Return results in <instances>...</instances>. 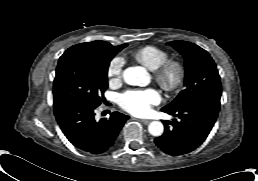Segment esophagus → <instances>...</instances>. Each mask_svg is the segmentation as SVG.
Listing matches in <instances>:
<instances>
[{
  "label": "esophagus",
  "mask_w": 258,
  "mask_h": 181,
  "mask_svg": "<svg viewBox=\"0 0 258 181\" xmlns=\"http://www.w3.org/2000/svg\"><path fill=\"white\" fill-rule=\"evenodd\" d=\"M143 124H149L151 122V120L149 119H142L140 120Z\"/></svg>",
  "instance_id": "1"
}]
</instances>
